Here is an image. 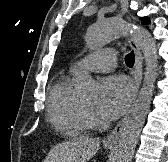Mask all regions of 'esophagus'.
Instances as JSON below:
<instances>
[{"label":"esophagus","instance_id":"obj_1","mask_svg":"<svg viewBox=\"0 0 168 162\" xmlns=\"http://www.w3.org/2000/svg\"><path fill=\"white\" fill-rule=\"evenodd\" d=\"M129 44L135 52V65H134V71H133L134 87H135L134 102H135L139 89H140L141 80H142V53H141L139 44L137 40L135 39V37L133 36L129 37ZM129 114H130V111L127 113V115L123 119H121L118 122V124L115 126L112 132L107 136L105 140V143L107 145H114L118 142L119 138L121 137L123 133V129L127 122Z\"/></svg>","mask_w":168,"mask_h":162}]
</instances>
